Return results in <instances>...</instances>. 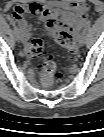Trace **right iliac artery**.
<instances>
[{
	"instance_id": "right-iliac-artery-1",
	"label": "right iliac artery",
	"mask_w": 104,
	"mask_h": 137,
	"mask_svg": "<svg viewBox=\"0 0 104 137\" xmlns=\"http://www.w3.org/2000/svg\"><path fill=\"white\" fill-rule=\"evenodd\" d=\"M10 23L14 26L15 29H17L15 23L12 20H10Z\"/></svg>"
}]
</instances>
